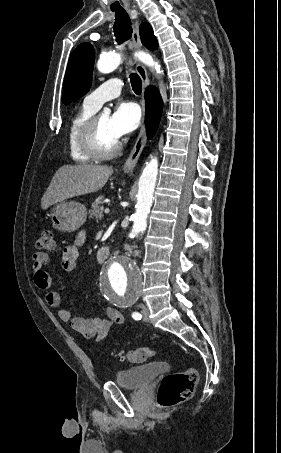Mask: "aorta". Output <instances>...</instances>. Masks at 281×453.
<instances>
[{
    "label": "aorta",
    "instance_id": "1",
    "mask_svg": "<svg viewBox=\"0 0 281 453\" xmlns=\"http://www.w3.org/2000/svg\"><path fill=\"white\" fill-rule=\"evenodd\" d=\"M135 56L147 66L161 74L160 65L145 53L138 52ZM121 63V56L117 53H108L101 56L97 62V69L101 73L114 71ZM103 113L110 114L105 108ZM158 175V160L151 158L139 178L136 211L133 214V226L131 237L143 232L147 227V217L152 206L153 194ZM100 291L104 298L113 305H125L134 303L142 288L141 271L135 261L129 258H113L108 260L100 274Z\"/></svg>",
    "mask_w": 281,
    "mask_h": 453
}]
</instances>
